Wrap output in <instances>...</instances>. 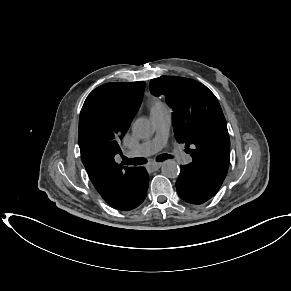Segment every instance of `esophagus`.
I'll use <instances>...</instances> for the list:
<instances>
[{"label": "esophagus", "instance_id": "obj_1", "mask_svg": "<svg viewBox=\"0 0 291 291\" xmlns=\"http://www.w3.org/2000/svg\"><path fill=\"white\" fill-rule=\"evenodd\" d=\"M162 166V163H151L148 165V168L151 170H157Z\"/></svg>", "mask_w": 291, "mask_h": 291}]
</instances>
